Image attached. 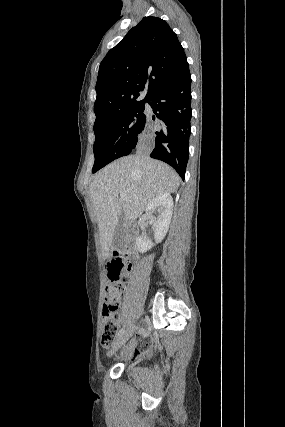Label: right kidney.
I'll use <instances>...</instances> for the list:
<instances>
[{
  "mask_svg": "<svg viewBox=\"0 0 285 427\" xmlns=\"http://www.w3.org/2000/svg\"><path fill=\"white\" fill-rule=\"evenodd\" d=\"M173 210V198L169 193L156 196L146 207V217L154 228L155 243H160L166 236L171 222ZM158 212V216L152 214ZM155 244L147 237L139 236L136 246L140 253L147 252Z\"/></svg>",
  "mask_w": 285,
  "mask_h": 427,
  "instance_id": "1",
  "label": "right kidney"
}]
</instances>
